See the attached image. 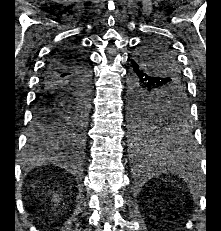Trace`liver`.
Masks as SVG:
<instances>
[{"mask_svg":"<svg viewBox=\"0 0 221 231\" xmlns=\"http://www.w3.org/2000/svg\"><path fill=\"white\" fill-rule=\"evenodd\" d=\"M50 154H51V152H48V153H45V154L41 153V154L38 156V158H36V160H37V161L45 160V159L48 158V155H50Z\"/></svg>","mask_w":221,"mask_h":231,"instance_id":"1","label":"liver"}]
</instances>
